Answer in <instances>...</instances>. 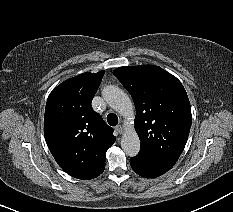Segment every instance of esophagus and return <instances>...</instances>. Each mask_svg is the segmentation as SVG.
Returning <instances> with one entry per match:
<instances>
[{
	"label": "esophagus",
	"instance_id": "obj_1",
	"mask_svg": "<svg viewBox=\"0 0 233 212\" xmlns=\"http://www.w3.org/2000/svg\"><path fill=\"white\" fill-rule=\"evenodd\" d=\"M116 131H117L119 134H122L123 131H124L123 126H121V125L116 126Z\"/></svg>",
	"mask_w": 233,
	"mask_h": 212
}]
</instances>
